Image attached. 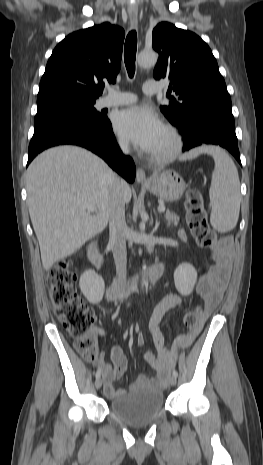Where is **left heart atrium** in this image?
<instances>
[{"label": "left heart atrium", "instance_id": "left-heart-atrium-1", "mask_svg": "<svg viewBox=\"0 0 263 465\" xmlns=\"http://www.w3.org/2000/svg\"><path fill=\"white\" fill-rule=\"evenodd\" d=\"M117 133L139 148L151 152L164 132L159 117L149 108L131 107L120 111L114 120Z\"/></svg>", "mask_w": 263, "mask_h": 465}]
</instances>
